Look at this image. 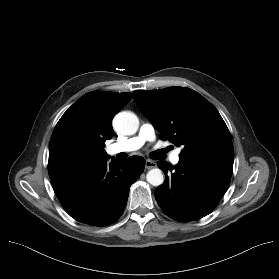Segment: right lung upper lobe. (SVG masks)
Listing matches in <instances>:
<instances>
[{
    "instance_id": "right-lung-upper-lobe-1",
    "label": "right lung upper lobe",
    "mask_w": 279,
    "mask_h": 279,
    "mask_svg": "<svg viewBox=\"0 0 279 279\" xmlns=\"http://www.w3.org/2000/svg\"><path fill=\"white\" fill-rule=\"evenodd\" d=\"M132 93L93 91L80 97L60 118L49 145V175L80 169L106 160L105 141L114 135L112 119ZM77 150L75 159L67 158Z\"/></svg>"
}]
</instances>
